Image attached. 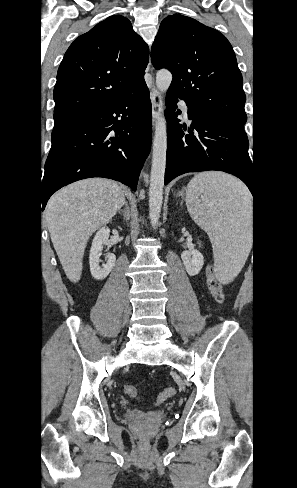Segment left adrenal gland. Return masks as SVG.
<instances>
[{
    "label": "left adrenal gland",
    "instance_id": "1",
    "mask_svg": "<svg viewBox=\"0 0 297 488\" xmlns=\"http://www.w3.org/2000/svg\"><path fill=\"white\" fill-rule=\"evenodd\" d=\"M178 196H181V199H182V200H181V204H182V203H183V201H184V189H183L182 191H180V192L177 194V197H178Z\"/></svg>",
    "mask_w": 297,
    "mask_h": 488
}]
</instances>
